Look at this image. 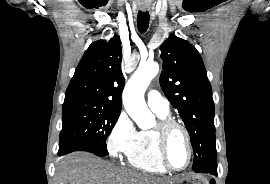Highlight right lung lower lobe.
<instances>
[{
    "label": "right lung lower lobe",
    "instance_id": "right-lung-lower-lobe-1",
    "mask_svg": "<svg viewBox=\"0 0 270 184\" xmlns=\"http://www.w3.org/2000/svg\"><path fill=\"white\" fill-rule=\"evenodd\" d=\"M73 151H87L90 153H93L95 155H98L100 157H105L102 154L98 153L95 149L91 148V147H87V146H75L69 149L64 150L63 152H58L59 156L65 155L67 153L73 152Z\"/></svg>",
    "mask_w": 270,
    "mask_h": 184
}]
</instances>
